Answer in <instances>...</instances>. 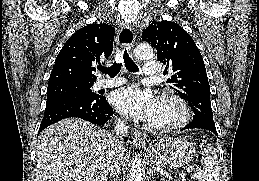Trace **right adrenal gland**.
<instances>
[{"instance_id":"obj_1","label":"right adrenal gland","mask_w":259,"mask_h":181,"mask_svg":"<svg viewBox=\"0 0 259 181\" xmlns=\"http://www.w3.org/2000/svg\"><path fill=\"white\" fill-rule=\"evenodd\" d=\"M111 181H116V179L114 178L113 180H111Z\"/></svg>"}]
</instances>
